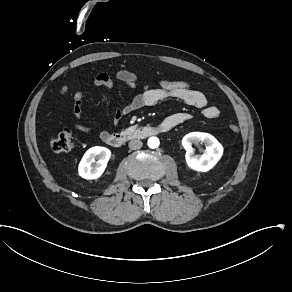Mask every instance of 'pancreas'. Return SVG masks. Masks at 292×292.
Returning a JSON list of instances; mask_svg holds the SVG:
<instances>
[{
	"label": "pancreas",
	"instance_id": "cf45deb5",
	"mask_svg": "<svg viewBox=\"0 0 292 292\" xmlns=\"http://www.w3.org/2000/svg\"><path fill=\"white\" fill-rule=\"evenodd\" d=\"M136 127V126H135ZM134 130V128H128L126 130L122 131V135H130L132 133V131Z\"/></svg>",
	"mask_w": 292,
	"mask_h": 292
}]
</instances>
